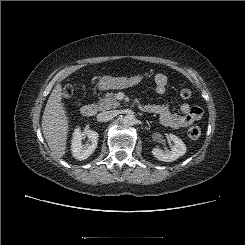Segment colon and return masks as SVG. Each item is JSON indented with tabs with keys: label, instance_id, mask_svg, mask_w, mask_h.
Listing matches in <instances>:
<instances>
[{
	"label": "colon",
	"instance_id": "5ec220e1",
	"mask_svg": "<svg viewBox=\"0 0 245 245\" xmlns=\"http://www.w3.org/2000/svg\"><path fill=\"white\" fill-rule=\"evenodd\" d=\"M63 97L69 99L73 95V87L71 85H66L63 88ZM179 95L182 99H188L191 97V90L189 88H181ZM201 136V130L199 127H192L188 130V137L192 140H197Z\"/></svg>",
	"mask_w": 245,
	"mask_h": 245
}]
</instances>
